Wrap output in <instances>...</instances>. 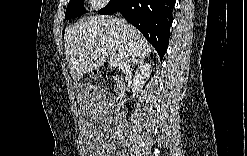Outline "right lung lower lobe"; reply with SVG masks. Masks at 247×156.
Returning a JSON list of instances; mask_svg holds the SVG:
<instances>
[{"label": "right lung lower lobe", "instance_id": "1", "mask_svg": "<svg viewBox=\"0 0 247 156\" xmlns=\"http://www.w3.org/2000/svg\"><path fill=\"white\" fill-rule=\"evenodd\" d=\"M174 0H111L98 13L120 12L153 45L162 59L169 44Z\"/></svg>", "mask_w": 247, "mask_h": 156}]
</instances>
